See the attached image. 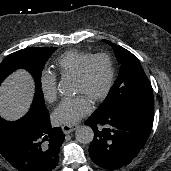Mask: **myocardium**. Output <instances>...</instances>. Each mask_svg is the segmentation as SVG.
I'll return each instance as SVG.
<instances>
[{
    "instance_id": "1",
    "label": "myocardium",
    "mask_w": 171,
    "mask_h": 171,
    "mask_svg": "<svg viewBox=\"0 0 171 171\" xmlns=\"http://www.w3.org/2000/svg\"><path fill=\"white\" fill-rule=\"evenodd\" d=\"M97 59H103L105 60L106 64H107V68H108V76H107V81L105 86L103 87V89L97 93L96 95H94L92 97V101L93 102H98L100 100H102L103 98H105L112 86H113V82H114V77H115V69H114V64H113V60L110 57V55L106 54V53H97V54H93L91 55L80 67V69L78 70V72L76 73V75L74 76V79L82 82L86 79L89 67L91 66V64L97 60Z\"/></svg>"
}]
</instances>
